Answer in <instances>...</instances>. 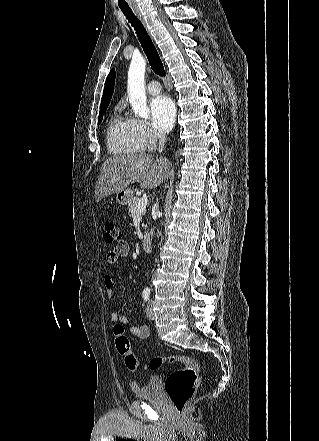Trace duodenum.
Listing matches in <instances>:
<instances>
[{
    "mask_svg": "<svg viewBox=\"0 0 319 441\" xmlns=\"http://www.w3.org/2000/svg\"><path fill=\"white\" fill-rule=\"evenodd\" d=\"M141 244L144 251L148 252L151 250V237L149 234L143 235Z\"/></svg>",
    "mask_w": 319,
    "mask_h": 441,
    "instance_id": "obj_1",
    "label": "duodenum"
}]
</instances>
